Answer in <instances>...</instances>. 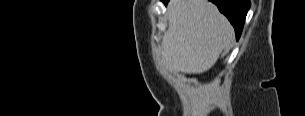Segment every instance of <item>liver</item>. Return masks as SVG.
<instances>
[{
	"label": "liver",
	"instance_id": "6515ba94",
	"mask_svg": "<svg viewBox=\"0 0 305 116\" xmlns=\"http://www.w3.org/2000/svg\"><path fill=\"white\" fill-rule=\"evenodd\" d=\"M162 57L170 72L208 71L234 38V29L208 0H171Z\"/></svg>",
	"mask_w": 305,
	"mask_h": 116
}]
</instances>
